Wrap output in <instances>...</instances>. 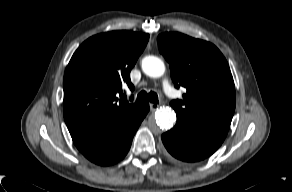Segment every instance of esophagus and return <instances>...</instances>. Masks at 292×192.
I'll list each match as a JSON object with an SVG mask.
<instances>
[{
    "label": "esophagus",
    "instance_id": "esophagus-1",
    "mask_svg": "<svg viewBox=\"0 0 292 192\" xmlns=\"http://www.w3.org/2000/svg\"><path fill=\"white\" fill-rule=\"evenodd\" d=\"M158 108H159V104H157V103H151L150 104V110L151 111H155Z\"/></svg>",
    "mask_w": 292,
    "mask_h": 192
}]
</instances>
